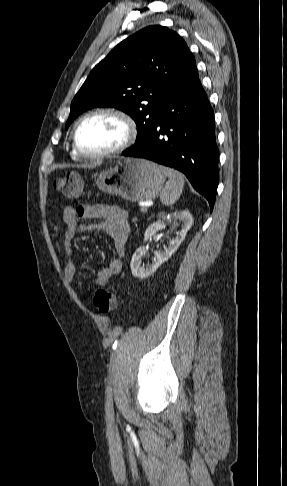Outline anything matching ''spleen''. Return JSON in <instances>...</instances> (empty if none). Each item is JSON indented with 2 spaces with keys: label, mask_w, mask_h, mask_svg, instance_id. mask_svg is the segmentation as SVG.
Wrapping results in <instances>:
<instances>
[{
  "label": "spleen",
  "mask_w": 287,
  "mask_h": 486,
  "mask_svg": "<svg viewBox=\"0 0 287 486\" xmlns=\"http://www.w3.org/2000/svg\"><path fill=\"white\" fill-rule=\"evenodd\" d=\"M163 173L168 177V182L160 193V201L163 205H173L180 197L184 187L183 175L171 168L161 166Z\"/></svg>",
  "instance_id": "obj_1"
}]
</instances>
